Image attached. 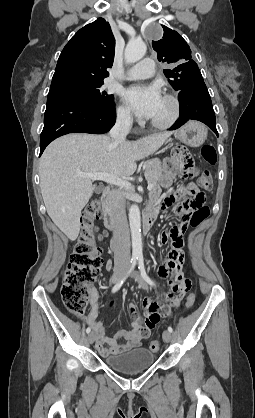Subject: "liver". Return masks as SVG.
<instances>
[{"label":"liver","mask_w":255,"mask_h":418,"mask_svg":"<svg viewBox=\"0 0 255 418\" xmlns=\"http://www.w3.org/2000/svg\"><path fill=\"white\" fill-rule=\"evenodd\" d=\"M172 132L137 141L115 142L107 135L68 134L53 141L40 158V187L47 213L71 240L80 232L81 211L95 186L78 172H105L125 178L136 171V161L156 152Z\"/></svg>","instance_id":"1"}]
</instances>
